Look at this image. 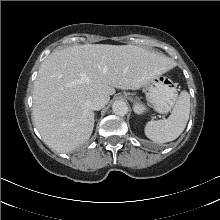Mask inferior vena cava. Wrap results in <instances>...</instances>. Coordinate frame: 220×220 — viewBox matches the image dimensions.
<instances>
[{
  "mask_svg": "<svg viewBox=\"0 0 220 220\" xmlns=\"http://www.w3.org/2000/svg\"><path fill=\"white\" fill-rule=\"evenodd\" d=\"M87 103L91 109L100 110L106 105V98L100 93H94L88 98Z\"/></svg>",
  "mask_w": 220,
  "mask_h": 220,
  "instance_id": "obj_1",
  "label": "inferior vena cava"
}]
</instances>
